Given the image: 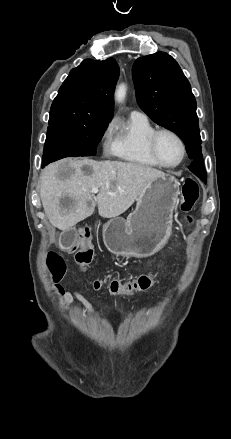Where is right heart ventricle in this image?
<instances>
[{
  "mask_svg": "<svg viewBox=\"0 0 231 439\" xmlns=\"http://www.w3.org/2000/svg\"><path fill=\"white\" fill-rule=\"evenodd\" d=\"M154 130L147 117L131 115L116 127L112 154L139 167L158 168L147 149V139Z\"/></svg>",
  "mask_w": 231,
  "mask_h": 439,
  "instance_id": "obj_1",
  "label": "right heart ventricle"
}]
</instances>
